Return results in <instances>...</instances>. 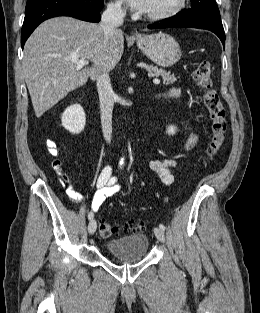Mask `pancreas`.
Here are the masks:
<instances>
[{"instance_id":"pancreas-1","label":"pancreas","mask_w":260,"mask_h":313,"mask_svg":"<svg viewBox=\"0 0 260 313\" xmlns=\"http://www.w3.org/2000/svg\"><path fill=\"white\" fill-rule=\"evenodd\" d=\"M149 74L152 76H161L163 79L164 84H173L177 81V78L172 75L169 71H166L162 68H158L153 65L148 66Z\"/></svg>"}]
</instances>
